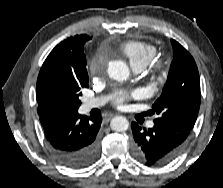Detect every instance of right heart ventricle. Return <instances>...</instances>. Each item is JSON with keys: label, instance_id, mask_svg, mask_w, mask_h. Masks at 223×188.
Here are the masks:
<instances>
[{"label": "right heart ventricle", "instance_id": "1", "mask_svg": "<svg viewBox=\"0 0 223 188\" xmlns=\"http://www.w3.org/2000/svg\"><path fill=\"white\" fill-rule=\"evenodd\" d=\"M119 51L128 58L131 66H140L145 68L157 56L155 45L140 41L127 40L120 44Z\"/></svg>", "mask_w": 223, "mask_h": 188}]
</instances>
